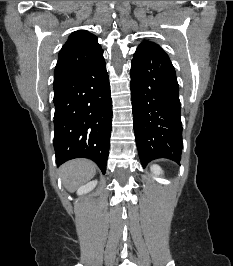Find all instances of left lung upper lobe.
I'll return each mask as SVG.
<instances>
[{
  "instance_id": "5c2ea615",
  "label": "left lung upper lobe",
  "mask_w": 233,
  "mask_h": 266,
  "mask_svg": "<svg viewBox=\"0 0 233 266\" xmlns=\"http://www.w3.org/2000/svg\"><path fill=\"white\" fill-rule=\"evenodd\" d=\"M145 44H148V45H157V44L152 43L150 41H144L143 43H141V45H145Z\"/></svg>"
}]
</instances>
